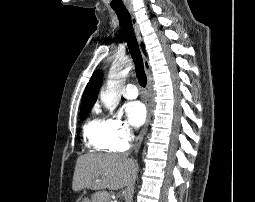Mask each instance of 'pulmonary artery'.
Wrapping results in <instances>:
<instances>
[{"mask_svg":"<svg viewBox=\"0 0 255 202\" xmlns=\"http://www.w3.org/2000/svg\"><path fill=\"white\" fill-rule=\"evenodd\" d=\"M123 96L127 99L137 98L138 96L137 87L132 83L127 84L125 88L123 89Z\"/></svg>","mask_w":255,"mask_h":202,"instance_id":"e3ab8cb5","label":"pulmonary artery"}]
</instances>
